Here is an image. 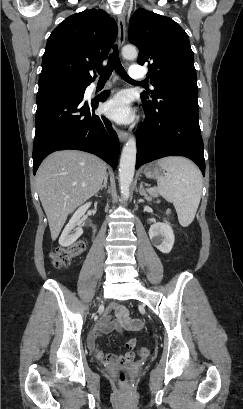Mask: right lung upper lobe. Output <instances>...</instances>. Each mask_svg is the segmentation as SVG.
Returning <instances> with one entry per match:
<instances>
[{
  "instance_id": "cb5924a9",
  "label": "right lung upper lobe",
  "mask_w": 243,
  "mask_h": 409,
  "mask_svg": "<svg viewBox=\"0 0 243 409\" xmlns=\"http://www.w3.org/2000/svg\"><path fill=\"white\" fill-rule=\"evenodd\" d=\"M117 35V25L104 10H85L60 23L48 38L39 79L65 77L88 85L95 78Z\"/></svg>"
}]
</instances>
